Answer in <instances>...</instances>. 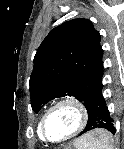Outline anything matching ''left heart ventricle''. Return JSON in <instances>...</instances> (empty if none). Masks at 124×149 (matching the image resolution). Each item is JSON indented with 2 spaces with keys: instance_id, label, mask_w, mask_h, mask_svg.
<instances>
[{
  "instance_id": "obj_1",
  "label": "left heart ventricle",
  "mask_w": 124,
  "mask_h": 149,
  "mask_svg": "<svg viewBox=\"0 0 124 149\" xmlns=\"http://www.w3.org/2000/svg\"><path fill=\"white\" fill-rule=\"evenodd\" d=\"M78 123L76 111L65 106L53 111L46 121V133L52 140H60L70 134Z\"/></svg>"
}]
</instances>
